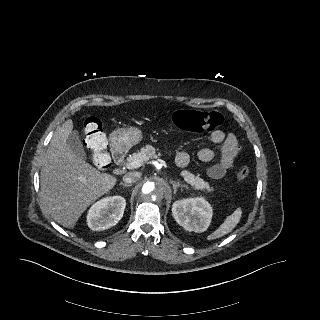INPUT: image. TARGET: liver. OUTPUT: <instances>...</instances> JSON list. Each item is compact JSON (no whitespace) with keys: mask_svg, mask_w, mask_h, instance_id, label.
Segmentation results:
<instances>
[{"mask_svg":"<svg viewBox=\"0 0 320 320\" xmlns=\"http://www.w3.org/2000/svg\"><path fill=\"white\" fill-rule=\"evenodd\" d=\"M72 130L73 121L67 120L55 132L40 173L44 208L66 228H73L87 207L110 191L117 181L116 177L101 173L69 149L66 141Z\"/></svg>","mask_w":320,"mask_h":320,"instance_id":"obj_1","label":"liver"}]
</instances>
